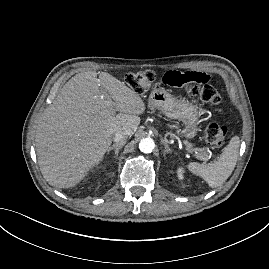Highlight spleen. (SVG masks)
Instances as JSON below:
<instances>
[{"instance_id":"spleen-1","label":"spleen","mask_w":269,"mask_h":269,"mask_svg":"<svg viewBox=\"0 0 269 269\" xmlns=\"http://www.w3.org/2000/svg\"><path fill=\"white\" fill-rule=\"evenodd\" d=\"M239 146L240 138L234 136L224 148L218 160L208 164L191 162L187 165V169L192 174L202 177L209 187L216 188L232 174L238 160Z\"/></svg>"}]
</instances>
